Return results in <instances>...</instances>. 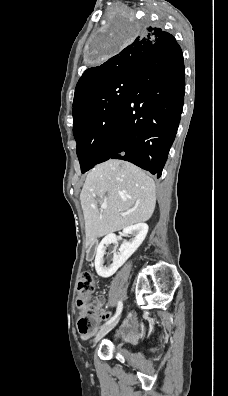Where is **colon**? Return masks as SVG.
<instances>
[{
  "mask_svg": "<svg viewBox=\"0 0 228 396\" xmlns=\"http://www.w3.org/2000/svg\"><path fill=\"white\" fill-rule=\"evenodd\" d=\"M95 290V282L89 272H83L77 284V307L80 310L78 329L82 335L91 333L96 326L97 312L102 305L101 299L91 300Z\"/></svg>",
  "mask_w": 228,
  "mask_h": 396,
  "instance_id": "5ec220e1",
  "label": "colon"
}]
</instances>
